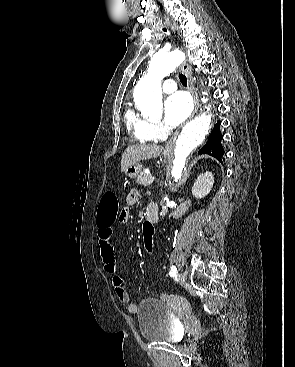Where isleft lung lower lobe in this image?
<instances>
[{"mask_svg": "<svg viewBox=\"0 0 295 367\" xmlns=\"http://www.w3.org/2000/svg\"><path fill=\"white\" fill-rule=\"evenodd\" d=\"M221 122L218 121L215 125L213 131L211 132L207 143L199 150V154H209L216 159H218L220 162H222L221 157L224 154V149L221 144V140L223 139V136L220 131Z\"/></svg>", "mask_w": 295, "mask_h": 367, "instance_id": "0a47b994", "label": "left lung lower lobe"}]
</instances>
